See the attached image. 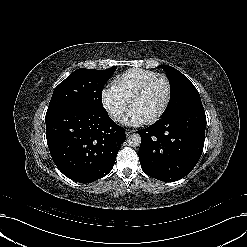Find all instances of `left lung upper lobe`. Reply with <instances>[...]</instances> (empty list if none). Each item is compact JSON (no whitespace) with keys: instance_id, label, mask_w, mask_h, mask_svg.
<instances>
[{"instance_id":"5c2ea615","label":"left lung upper lobe","mask_w":247,"mask_h":247,"mask_svg":"<svg viewBox=\"0 0 247 247\" xmlns=\"http://www.w3.org/2000/svg\"><path fill=\"white\" fill-rule=\"evenodd\" d=\"M160 67L167 72L173 90L172 103L163 118L171 117L190 106L201 103L197 89L186 76L171 66L160 65Z\"/></svg>"}]
</instances>
